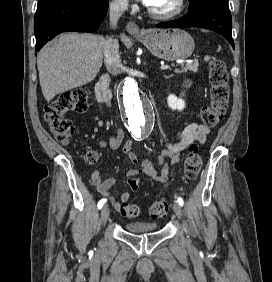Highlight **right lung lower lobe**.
<instances>
[{
    "mask_svg": "<svg viewBox=\"0 0 272 282\" xmlns=\"http://www.w3.org/2000/svg\"><path fill=\"white\" fill-rule=\"evenodd\" d=\"M107 10V0H39L34 17L36 51L59 33L95 31Z\"/></svg>",
    "mask_w": 272,
    "mask_h": 282,
    "instance_id": "right-lung-lower-lobe-1",
    "label": "right lung lower lobe"
}]
</instances>
